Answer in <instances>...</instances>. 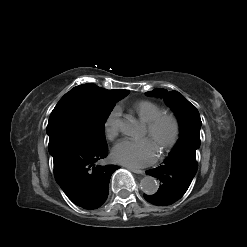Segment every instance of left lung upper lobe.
<instances>
[{
    "label": "left lung upper lobe",
    "instance_id": "5c2ea615",
    "mask_svg": "<svg viewBox=\"0 0 247 247\" xmlns=\"http://www.w3.org/2000/svg\"><path fill=\"white\" fill-rule=\"evenodd\" d=\"M149 96L163 97L165 102L175 112L180 125V138L174 148L200 147L201 119L197 108L183 95L176 91L167 92L165 89H154L146 93Z\"/></svg>",
    "mask_w": 247,
    "mask_h": 247
}]
</instances>
